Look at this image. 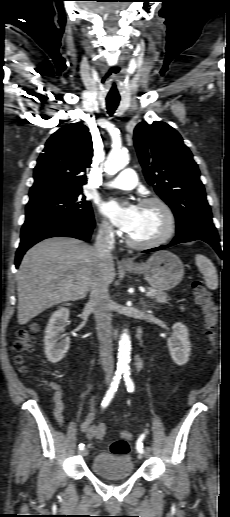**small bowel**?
<instances>
[{
    "label": "small bowel",
    "instance_id": "obj_1",
    "mask_svg": "<svg viewBox=\"0 0 230 517\" xmlns=\"http://www.w3.org/2000/svg\"><path fill=\"white\" fill-rule=\"evenodd\" d=\"M91 390V386H89L86 390L81 393V399H85ZM64 405L61 401V393L60 391L56 394V405H55V418L59 424L63 425L65 423L63 417ZM94 413H90L87 418L79 425V429L86 436L87 440H92L94 438L102 439L106 432V427L103 423L93 424ZM122 437L127 439L131 438V434L129 432H122Z\"/></svg>",
    "mask_w": 230,
    "mask_h": 517
}]
</instances>
